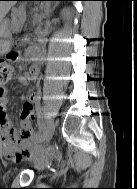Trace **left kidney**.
I'll return each mask as SVG.
<instances>
[{
	"label": "left kidney",
	"mask_w": 137,
	"mask_h": 189,
	"mask_svg": "<svg viewBox=\"0 0 137 189\" xmlns=\"http://www.w3.org/2000/svg\"><path fill=\"white\" fill-rule=\"evenodd\" d=\"M62 14H64V15H65V11H63V12H62Z\"/></svg>",
	"instance_id": "5707ae66"
}]
</instances>
